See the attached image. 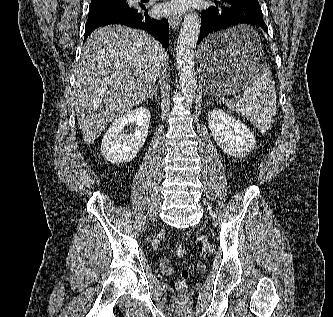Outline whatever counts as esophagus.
Masks as SVG:
<instances>
[{
  "instance_id": "34e87169",
  "label": "esophagus",
  "mask_w": 333,
  "mask_h": 317,
  "mask_svg": "<svg viewBox=\"0 0 333 317\" xmlns=\"http://www.w3.org/2000/svg\"><path fill=\"white\" fill-rule=\"evenodd\" d=\"M181 22V16L179 15H171L169 17V24L172 29H177Z\"/></svg>"
}]
</instances>
